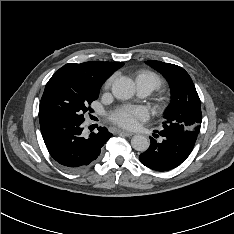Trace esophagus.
<instances>
[{
  "mask_svg": "<svg viewBox=\"0 0 234 234\" xmlns=\"http://www.w3.org/2000/svg\"><path fill=\"white\" fill-rule=\"evenodd\" d=\"M118 134H121V135H124V136H127V137H130V136L133 135L132 132L125 131V130H118Z\"/></svg>",
  "mask_w": 234,
  "mask_h": 234,
  "instance_id": "obj_1",
  "label": "esophagus"
}]
</instances>
